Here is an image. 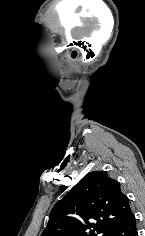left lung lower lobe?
<instances>
[{
    "label": "left lung lower lobe",
    "mask_w": 145,
    "mask_h": 236,
    "mask_svg": "<svg viewBox=\"0 0 145 236\" xmlns=\"http://www.w3.org/2000/svg\"><path fill=\"white\" fill-rule=\"evenodd\" d=\"M111 236H138L134 214L131 213L123 223L117 226Z\"/></svg>",
    "instance_id": "1"
}]
</instances>
